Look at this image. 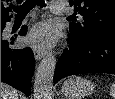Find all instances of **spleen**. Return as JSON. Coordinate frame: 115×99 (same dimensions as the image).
Listing matches in <instances>:
<instances>
[{"instance_id": "obj_1", "label": "spleen", "mask_w": 115, "mask_h": 99, "mask_svg": "<svg viewBox=\"0 0 115 99\" xmlns=\"http://www.w3.org/2000/svg\"><path fill=\"white\" fill-rule=\"evenodd\" d=\"M110 94L115 99V84H112Z\"/></svg>"}]
</instances>
